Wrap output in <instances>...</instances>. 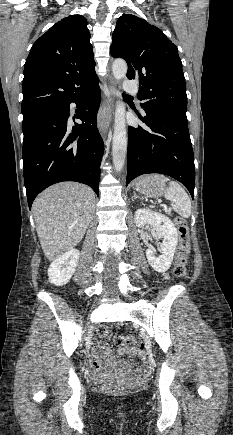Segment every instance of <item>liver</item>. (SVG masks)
Wrapping results in <instances>:
<instances>
[{
  "label": "liver",
  "mask_w": 233,
  "mask_h": 435,
  "mask_svg": "<svg viewBox=\"0 0 233 435\" xmlns=\"http://www.w3.org/2000/svg\"><path fill=\"white\" fill-rule=\"evenodd\" d=\"M94 210V192L77 182L55 184L37 196L32 211L42 250L49 261L77 246Z\"/></svg>",
  "instance_id": "liver-1"
}]
</instances>
